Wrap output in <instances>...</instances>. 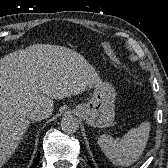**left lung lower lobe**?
I'll use <instances>...</instances> for the list:
<instances>
[{"instance_id":"left-lung-lower-lobe-1","label":"left lung lower lobe","mask_w":168,"mask_h":168,"mask_svg":"<svg viewBox=\"0 0 168 168\" xmlns=\"http://www.w3.org/2000/svg\"><path fill=\"white\" fill-rule=\"evenodd\" d=\"M90 164V163H89ZM90 166L92 167V168H95L92 164H90Z\"/></svg>"}]
</instances>
